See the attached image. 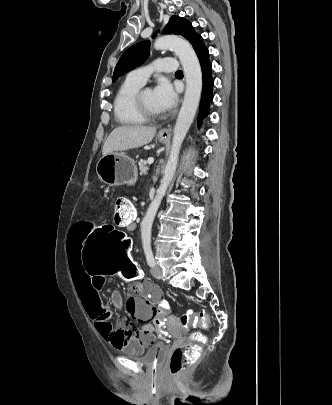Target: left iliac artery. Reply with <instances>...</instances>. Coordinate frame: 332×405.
Segmentation results:
<instances>
[{
  "instance_id": "obj_1",
  "label": "left iliac artery",
  "mask_w": 332,
  "mask_h": 405,
  "mask_svg": "<svg viewBox=\"0 0 332 405\" xmlns=\"http://www.w3.org/2000/svg\"><path fill=\"white\" fill-rule=\"evenodd\" d=\"M144 252H145V256H146V260H147L148 265L150 267H154L155 266V259H154V256H153L152 249L150 247H145Z\"/></svg>"
}]
</instances>
